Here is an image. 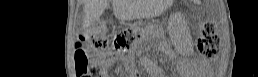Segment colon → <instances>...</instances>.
I'll return each mask as SVG.
<instances>
[{
	"mask_svg": "<svg viewBox=\"0 0 258 77\" xmlns=\"http://www.w3.org/2000/svg\"><path fill=\"white\" fill-rule=\"evenodd\" d=\"M106 25L99 21L82 28L78 35L76 70L79 76H88L95 71L89 63L87 51L103 50L108 46L106 35ZM135 39L133 32L123 30L115 37V47L117 49L129 48ZM198 49L205 59H216L219 55L220 37L215 31L212 23H204L198 39Z\"/></svg>",
	"mask_w": 258,
	"mask_h": 77,
	"instance_id": "colon-1",
	"label": "colon"
}]
</instances>
